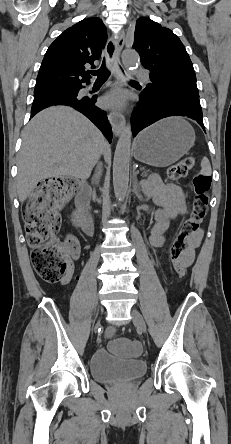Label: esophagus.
<instances>
[{"label": "esophagus", "mask_w": 231, "mask_h": 444, "mask_svg": "<svg viewBox=\"0 0 231 444\" xmlns=\"http://www.w3.org/2000/svg\"><path fill=\"white\" fill-rule=\"evenodd\" d=\"M124 40H125V34L124 31H121L119 39L117 41H115L114 39H110L105 48V54L108 65L112 68L116 77L115 80L116 86H122L123 84L122 73L120 70V67L122 66L120 62V52L123 48ZM108 117L114 135L119 136L125 125V117L123 116L122 113L116 111L110 112Z\"/></svg>", "instance_id": "obj_1"}]
</instances>
